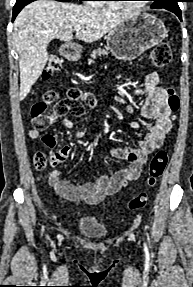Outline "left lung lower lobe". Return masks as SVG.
<instances>
[{"instance_id": "0a47b994", "label": "left lung lower lobe", "mask_w": 193, "mask_h": 287, "mask_svg": "<svg viewBox=\"0 0 193 287\" xmlns=\"http://www.w3.org/2000/svg\"><path fill=\"white\" fill-rule=\"evenodd\" d=\"M163 9H166V10H169V11L175 13L178 16V18L180 20H182L181 10H180L179 6H170V7H165Z\"/></svg>"}]
</instances>
